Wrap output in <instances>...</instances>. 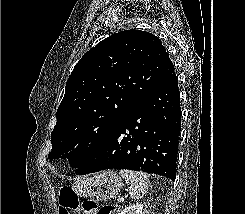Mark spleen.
I'll return each mask as SVG.
<instances>
[{
	"label": "spleen",
	"instance_id": "3e777b00",
	"mask_svg": "<svg viewBox=\"0 0 245 214\" xmlns=\"http://www.w3.org/2000/svg\"><path fill=\"white\" fill-rule=\"evenodd\" d=\"M120 175L129 184V193L132 199H141L146 193L150 181L146 173L133 170H121Z\"/></svg>",
	"mask_w": 245,
	"mask_h": 214
}]
</instances>
